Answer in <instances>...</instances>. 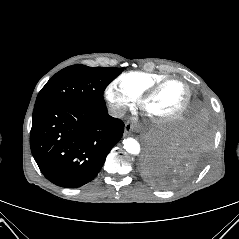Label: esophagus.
I'll list each match as a JSON object with an SVG mask.
<instances>
[{
	"instance_id": "1",
	"label": "esophagus",
	"mask_w": 239,
	"mask_h": 239,
	"mask_svg": "<svg viewBox=\"0 0 239 239\" xmlns=\"http://www.w3.org/2000/svg\"><path fill=\"white\" fill-rule=\"evenodd\" d=\"M135 129V126L129 122L125 123L124 132L126 135L130 134Z\"/></svg>"
}]
</instances>
